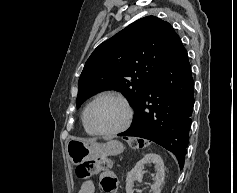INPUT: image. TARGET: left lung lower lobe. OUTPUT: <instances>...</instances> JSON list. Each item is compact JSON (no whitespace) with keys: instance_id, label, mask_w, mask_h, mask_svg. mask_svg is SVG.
<instances>
[{"instance_id":"1","label":"left lung lower lobe","mask_w":237,"mask_h":193,"mask_svg":"<svg viewBox=\"0 0 237 193\" xmlns=\"http://www.w3.org/2000/svg\"><path fill=\"white\" fill-rule=\"evenodd\" d=\"M194 81L187 51L182 42L153 79L141 100L132 126L119 136L151 140L174 153L184 166Z\"/></svg>"}]
</instances>
